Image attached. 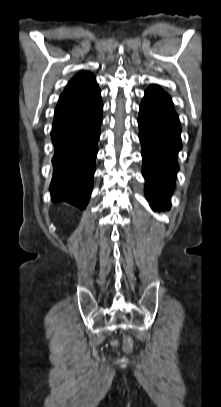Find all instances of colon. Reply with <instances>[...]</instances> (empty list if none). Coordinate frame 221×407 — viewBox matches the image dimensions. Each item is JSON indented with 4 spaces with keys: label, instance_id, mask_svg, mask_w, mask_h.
<instances>
[{
    "label": "colon",
    "instance_id": "colon-1",
    "mask_svg": "<svg viewBox=\"0 0 221 407\" xmlns=\"http://www.w3.org/2000/svg\"><path fill=\"white\" fill-rule=\"evenodd\" d=\"M123 350L125 353H131L133 350V340L130 337H126L123 341Z\"/></svg>",
    "mask_w": 221,
    "mask_h": 407
}]
</instances>
